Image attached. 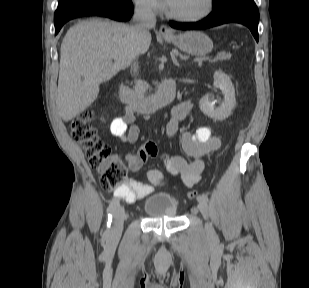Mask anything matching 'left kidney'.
Wrapping results in <instances>:
<instances>
[{"instance_id":"obj_1","label":"left kidney","mask_w":309,"mask_h":288,"mask_svg":"<svg viewBox=\"0 0 309 288\" xmlns=\"http://www.w3.org/2000/svg\"><path fill=\"white\" fill-rule=\"evenodd\" d=\"M213 77L214 87L221 90L224 95V101L220 107L215 108L214 103L209 99L210 95L207 94L201 98L199 106L201 111L208 117L222 121L230 116L235 107V89L230 78L224 72L216 71Z\"/></svg>"}]
</instances>
